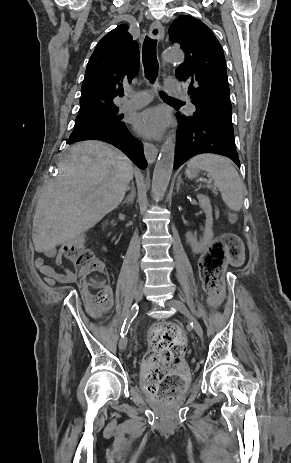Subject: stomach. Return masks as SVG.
<instances>
[{"label": "stomach", "instance_id": "stomach-1", "mask_svg": "<svg viewBox=\"0 0 291 463\" xmlns=\"http://www.w3.org/2000/svg\"><path fill=\"white\" fill-rule=\"evenodd\" d=\"M196 174H197V170L194 169V168H188V169L186 170V175H187L188 177H194V176H196Z\"/></svg>", "mask_w": 291, "mask_h": 463}]
</instances>
